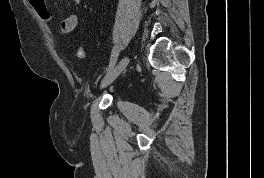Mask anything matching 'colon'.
Here are the masks:
<instances>
[{
    "mask_svg": "<svg viewBox=\"0 0 264 178\" xmlns=\"http://www.w3.org/2000/svg\"><path fill=\"white\" fill-rule=\"evenodd\" d=\"M28 2L43 21H53V15L46 4V0H28ZM76 57L78 59L86 57V49L83 46L77 48Z\"/></svg>",
    "mask_w": 264,
    "mask_h": 178,
    "instance_id": "colon-1",
    "label": "colon"
}]
</instances>
